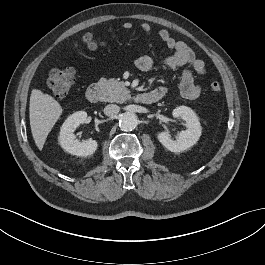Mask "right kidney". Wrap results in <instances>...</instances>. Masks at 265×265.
I'll use <instances>...</instances> for the list:
<instances>
[{
    "instance_id": "right-kidney-1",
    "label": "right kidney",
    "mask_w": 265,
    "mask_h": 265,
    "mask_svg": "<svg viewBox=\"0 0 265 265\" xmlns=\"http://www.w3.org/2000/svg\"><path fill=\"white\" fill-rule=\"evenodd\" d=\"M87 120V113L85 111H78L70 115L63 123L60 135L58 137L59 144L68 153L76 156L92 155L98 147L95 140L88 139L80 142L76 139L74 134L75 129L85 123Z\"/></svg>"
}]
</instances>
